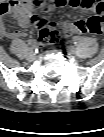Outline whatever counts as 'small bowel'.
Segmentation results:
<instances>
[{
    "label": "small bowel",
    "mask_w": 104,
    "mask_h": 137,
    "mask_svg": "<svg viewBox=\"0 0 104 137\" xmlns=\"http://www.w3.org/2000/svg\"><path fill=\"white\" fill-rule=\"evenodd\" d=\"M43 3V0H9L0 5V33L6 38L9 39H18L25 35V32L22 30L11 31L8 29L6 24V19L9 16H12L17 24L25 29L28 28L31 24L38 26L39 23L56 26V22L48 20L44 17L35 15L34 11L36 8L40 7ZM71 6L75 8H81L87 12H91L94 16H100L104 14V4L101 0H49V3L44 6L43 11L46 13L54 12L60 7ZM89 19H79L72 23H64L61 27L65 29V34L70 33H90L95 35L96 33L87 30V27L90 26ZM102 30L98 29L97 32Z\"/></svg>",
    "instance_id": "small-bowel-1"
}]
</instances>
